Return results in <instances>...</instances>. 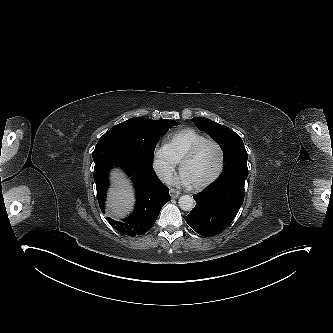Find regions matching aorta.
Segmentation results:
<instances>
[{
	"label": "aorta",
	"instance_id": "aorta-1",
	"mask_svg": "<svg viewBox=\"0 0 333 333\" xmlns=\"http://www.w3.org/2000/svg\"><path fill=\"white\" fill-rule=\"evenodd\" d=\"M194 199L189 195H183L179 198L178 204L183 211H191L194 207Z\"/></svg>",
	"mask_w": 333,
	"mask_h": 333
}]
</instances>
